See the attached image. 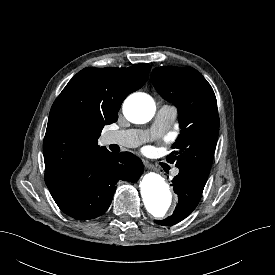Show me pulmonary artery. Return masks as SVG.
<instances>
[{
	"instance_id": "obj_1",
	"label": "pulmonary artery",
	"mask_w": 275,
	"mask_h": 275,
	"mask_svg": "<svg viewBox=\"0 0 275 275\" xmlns=\"http://www.w3.org/2000/svg\"><path fill=\"white\" fill-rule=\"evenodd\" d=\"M177 116V109L170 104H163L156 115L152 127L148 131L139 130H118L109 132L105 137L107 144H116L122 147H136L149 138H156L166 132L173 124ZM179 173L174 168L173 175Z\"/></svg>"
}]
</instances>
